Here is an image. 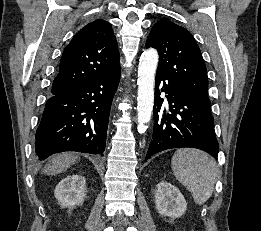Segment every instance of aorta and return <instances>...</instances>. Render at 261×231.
<instances>
[{"label":"aorta","mask_w":261,"mask_h":231,"mask_svg":"<svg viewBox=\"0 0 261 231\" xmlns=\"http://www.w3.org/2000/svg\"><path fill=\"white\" fill-rule=\"evenodd\" d=\"M159 55L156 49L150 48L143 52L138 66V97L137 120L138 132L147 130L154 104V81Z\"/></svg>","instance_id":"obj_1"}]
</instances>
